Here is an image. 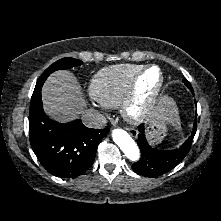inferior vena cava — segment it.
<instances>
[{"label": "inferior vena cava", "mask_w": 221, "mask_h": 221, "mask_svg": "<svg viewBox=\"0 0 221 221\" xmlns=\"http://www.w3.org/2000/svg\"><path fill=\"white\" fill-rule=\"evenodd\" d=\"M82 122L87 127L101 129L106 126L107 119L99 112L95 110H89L83 113Z\"/></svg>", "instance_id": "obj_1"}]
</instances>
